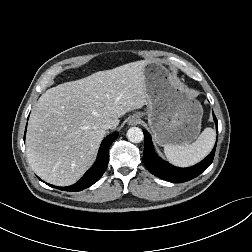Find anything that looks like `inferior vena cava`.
<instances>
[{"label": "inferior vena cava", "instance_id": "obj_1", "mask_svg": "<svg viewBox=\"0 0 252 252\" xmlns=\"http://www.w3.org/2000/svg\"><path fill=\"white\" fill-rule=\"evenodd\" d=\"M115 127H116L115 124L112 123V122H110V121L104 122V123L102 124V128H103V129H113V128H115Z\"/></svg>", "mask_w": 252, "mask_h": 252}]
</instances>
